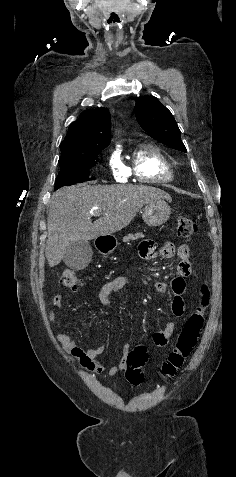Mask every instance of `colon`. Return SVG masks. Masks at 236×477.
Segmentation results:
<instances>
[{"label":"colon","mask_w":236,"mask_h":477,"mask_svg":"<svg viewBox=\"0 0 236 477\" xmlns=\"http://www.w3.org/2000/svg\"><path fill=\"white\" fill-rule=\"evenodd\" d=\"M198 231L197 222L189 215H180L177 219V232L183 238H190ZM62 286L76 289L82 286L83 281L77 273L71 269H65L60 275ZM209 303V288L202 287V301L200 306L194 311L185 322L179 333L175 349L169 354L162 365V373L165 377H173L183 365L185 359L190 355L195 347L204 325L205 310ZM148 360V351L145 346L135 347L127 357L126 379L139 385L144 379L142 367Z\"/></svg>","instance_id":"5ec220e1"}]
</instances>
